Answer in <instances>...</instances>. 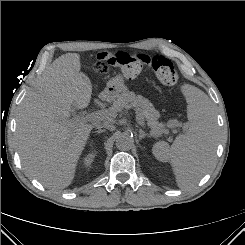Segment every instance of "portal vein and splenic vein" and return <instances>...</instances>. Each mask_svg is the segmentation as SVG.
I'll return each instance as SVG.
<instances>
[{"label": "portal vein and splenic vein", "mask_w": 245, "mask_h": 245, "mask_svg": "<svg viewBox=\"0 0 245 245\" xmlns=\"http://www.w3.org/2000/svg\"><path fill=\"white\" fill-rule=\"evenodd\" d=\"M109 116L110 113L107 110H99L95 113H88L86 116H81L79 119L83 121H96L108 119ZM136 120L139 125H144V117L138 111H136Z\"/></svg>", "instance_id": "obj_1"}]
</instances>
